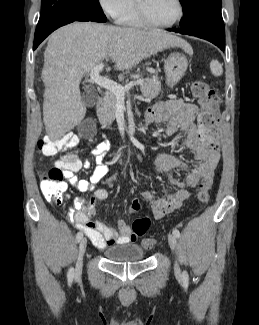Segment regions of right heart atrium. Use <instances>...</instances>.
<instances>
[{"label":"right heart atrium","instance_id":"1","mask_svg":"<svg viewBox=\"0 0 259 325\" xmlns=\"http://www.w3.org/2000/svg\"><path fill=\"white\" fill-rule=\"evenodd\" d=\"M133 0H98L102 11L112 19L118 20L132 5Z\"/></svg>","mask_w":259,"mask_h":325}]
</instances>
